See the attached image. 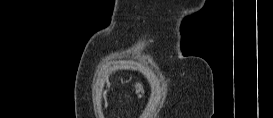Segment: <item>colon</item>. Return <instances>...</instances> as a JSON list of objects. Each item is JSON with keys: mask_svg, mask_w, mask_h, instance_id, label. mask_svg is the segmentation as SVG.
Masks as SVG:
<instances>
[{"mask_svg": "<svg viewBox=\"0 0 273 118\" xmlns=\"http://www.w3.org/2000/svg\"><path fill=\"white\" fill-rule=\"evenodd\" d=\"M135 88L141 95H143L144 90H143V87H142V85L140 83H136Z\"/></svg>", "mask_w": 273, "mask_h": 118, "instance_id": "obj_1", "label": "colon"}]
</instances>
